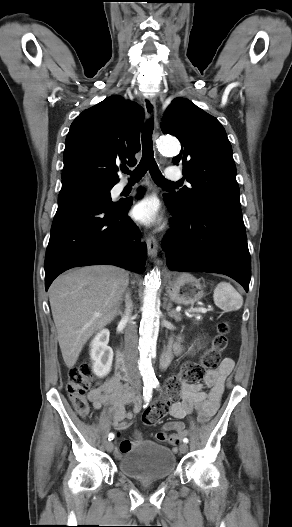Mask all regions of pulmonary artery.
Here are the masks:
<instances>
[{
    "label": "pulmonary artery",
    "instance_id": "pulmonary-artery-1",
    "mask_svg": "<svg viewBox=\"0 0 292 527\" xmlns=\"http://www.w3.org/2000/svg\"><path fill=\"white\" fill-rule=\"evenodd\" d=\"M165 178L167 180L177 181L182 178L181 171L176 167H168L165 170ZM126 186L125 182H122L118 185V188L121 190Z\"/></svg>",
    "mask_w": 292,
    "mask_h": 527
}]
</instances>
